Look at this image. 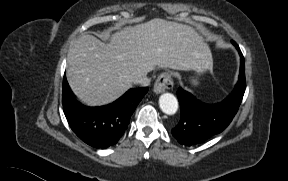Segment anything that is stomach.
<instances>
[{
  "label": "stomach",
  "mask_w": 288,
  "mask_h": 181,
  "mask_svg": "<svg viewBox=\"0 0 288 181\" xmlns=\"http://www.w3.org/2000/svg\"><path fill=\"white\" fill-rule=\"evenodd\" d=\"M213 68V58L209 47L206 44H201L197 47L194 53V65L192 71L196 76H201L204 73L211 71ZM193 84H197V79H192Z\"/></svg>",
  "instance_id": "obj_1"
}]
</instances>
